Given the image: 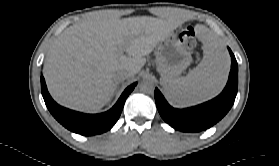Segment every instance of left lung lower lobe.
Returning a JSON list of instances; mask_svg holds the SVG:
<instances>
[{
	"label": "left lung lower lobe",
	"instance_id": "obj_1",
	"mask_svg": "<svg viewBox=\"0 0 279 166\" xmlns=\"http://www.w3.org/2000/svg\"><path fill=\"white\" fill-rule=\"evenodd\" d=\"M231 55V71L228 83L223 92L216 98L186 109L171 107L160 91L154 92L157 109L171 127L184 132H199L212 127L221 120L232 107L238 88V66L234 54Z\"/></svg>",
	"mask_w": 279,
	"mask_h": 166
}]
</instances>
